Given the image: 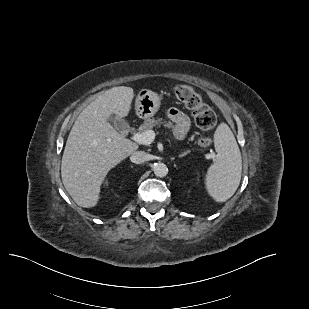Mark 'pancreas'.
<instances>
[{
  "instance_id": "obj_1",
  "label": "pancreas",
  "mask_w": 309,
  "mask_h": 309,
  "mask_svg": "<svg viewBox=\"0 0 309 309\" xmlns=\"http://www.w3.org/2000/svg\"><path fill=\"white\" fill-rule=\"evenodd\" d=\"M161 124H163L167 128L172 127L171 122H166L162 118H157V119L149 118L145 120L144 123L138 128V131L139 133H143L147 130H151L153 127H156V126L160 127Z\"/></svg>"
}]
</instances>
